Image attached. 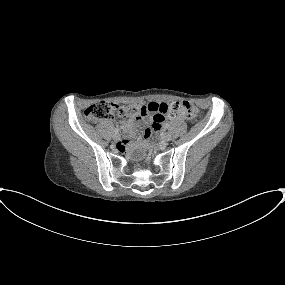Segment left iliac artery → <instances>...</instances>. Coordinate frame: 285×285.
I'll list each match as a JSON object with an SVG mask.
<instances>
[{
	"label": "left iliac artery",
	"mask_w": 285,
	"mask_h": 285,
	"mask_svg": "<svg viewBox=\"0 0 285 285\" xmlns=\"http://www.w3.org/2000/svg\"><path fill=\"white\" fill-rule=\"evenodd\" d=\"M165 128H167V129H168V128H169V124H166V125H165Z\"/></svg>",
	"instance_id": "left-iliac-artery-1"
}]
</instances>
